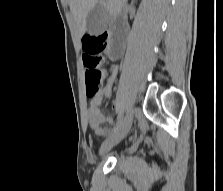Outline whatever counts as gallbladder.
<instances>
[{
	"instance_id": "1",
	"label": "gallbladder",
	"mask_w": 223,
	"mask_h": 191,
	"mask_svg": "<svg viewBox=\"0 0 223 191\" xmlns=\"http://www.w3.org/2000/svg\"><path fill=\"white\" fill-rule=\"evenodd\" d=\"M109 14L101 7H93L86 18V30L90 35H100L108 24Z\"/></svg>"
}]
</instances>
